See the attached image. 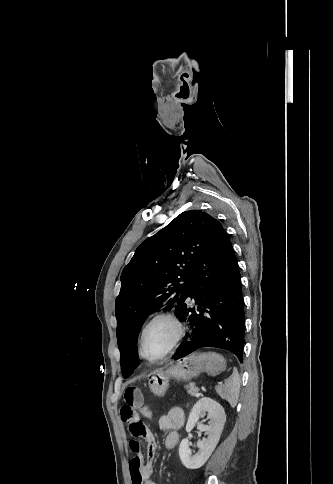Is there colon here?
<instances>
[{
    "label": "colon",
    "instance_id": "5ec220e1",
    "mask_svg": "<svg viewBox=\"0 0 333 484\" xmlns=\"http://www.w3.org/2000/svg\"><path fill=\"white\" fill-rule=\"evenodd\" d=\"M141 415H142V416H143L145 419L150 420V419H152V418H153L154 413H153V410H152L150 407H148V406H143V407L141 408Z\"/></svg>",
    "mask_w": 333,
    "mask_h": 484
}]
</instances>
